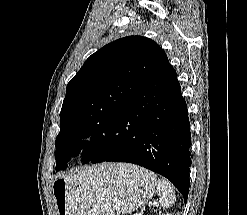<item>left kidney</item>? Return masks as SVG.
<instances>
[{
    "label": "left kidney",
    "instance_id": "1",
    "mask_svg": "<svg viewBox=\"0 0 247 215\" xmlns=\"http://www.w3.org/2000/svg\"><path fill=\"white\" fill-rule=\"evenodd\" d=\"M159 215H161V214H159ZM162 215H172V214H162Z\"/></svg>",
    "mask_w": 247,
    "mask_h": 215
}]
</instances>
